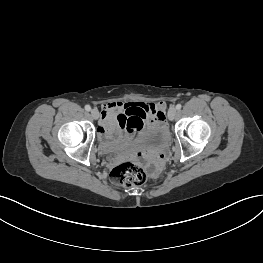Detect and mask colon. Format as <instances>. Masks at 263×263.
Instances as JSON below:
<instances>
[{
  "instance_id": "colon-1",
  "label": "colon",
  "mask_w": 263,
  "mask_h": 263,
  "mask_svg": "<svg viewBox=\"0 0 263 263\" xmlns=\"http://www.w3.org/2000/svg\"><path fill=\"white\" fill-rule=\"evenodd\" d=\"M113 182L124 187L141 185L146 180V173L139 163L128 161L115 166L111 171Z\"/></svg>"
}]
</instances>
